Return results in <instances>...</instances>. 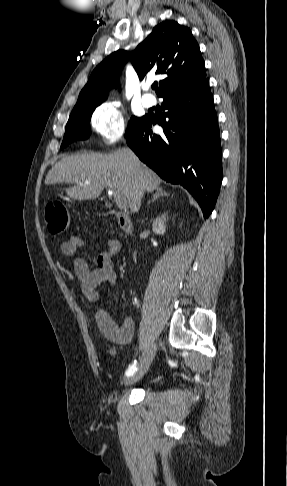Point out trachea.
<instances>
[{
    "label": "trachea",
    "mask_w": 287,
    "mask_h": 486,
    "mask_svg": "<svg viewBox=\"0 0 287 486\" xmlns=\"http://www.w3.org/2000/svg\"><path fill=\"white\" fill-rule=\"evenodd\" d=\"M156 86H157V84H153L152 85V89H155Z\"/></svg>",
    "instance_id": "obj_1"
}]
</instances>
